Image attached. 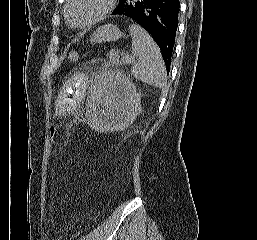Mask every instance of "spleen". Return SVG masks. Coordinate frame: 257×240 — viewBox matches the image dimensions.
Segmentation results:
<instances>
[{"label":"spleen","mask_w":257,"mask_h":240,"mask_svg":"<svg viewBox=\"0 0 257 240\" xmlns=\"http://www.w3.org/2000/svg\"><path fill=\"white\" fill-rule=\"evenodd\" d=\"M129 30L132 53L136 57L131 69L132 75L145 84L163 88L166 85V69L159 47L140 26L132 24Z\"/></svg>","instance_id":"spleen-1"}]
</instances>
